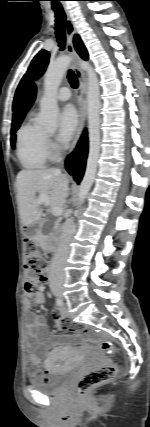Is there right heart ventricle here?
Instances as JSON below:
<instances>
[{"mask_svg": "<svg viewBox=\"0 0 150 427\" xmlns=\"http://www.w3.org/2000/svg\"><path fill=\"white\" fill-rule=\"evenodd\" d=\"M16 156L21 166L27 170L42 169L50 160L47 134L31 118L17 131Z\"/></svg>", "mask_w": 150, "mask_h": 427, "instance_id": "right-heart-ventricle-1", "label": "right heart ventricle"}]
</instances>
